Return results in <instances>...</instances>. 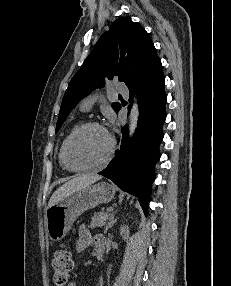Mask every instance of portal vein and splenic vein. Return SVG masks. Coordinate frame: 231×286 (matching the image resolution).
<instances>
[{"instance_id": "18ae733b", "label": "portal vein and splenic vein", "mask_w": 231, "mask_h": 286, "mask_svg": "<svg viewBox=\"0 0 231 286\" xmlns=\"http://www.w3.org/2000/svg\"><path fill=\"white\" fill-rule=\"evenodd\" d=\"M112 210H113V207H108L106 211L111 212Z\"/></svg>"}]
</instances>
